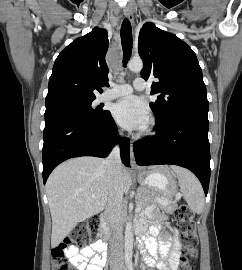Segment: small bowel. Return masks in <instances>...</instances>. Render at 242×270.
I'll list each match as a JSON object with an SVG mask.
<instances>
[{
	"instance_id": "c3829d8e",
	"label": "small bowel",
	"mask_w": 242,
	"mask_h": 270,
	"mask_svg": "<svg viewBox=\"0 0 242 270\" xmlns=\"http://www.w3.org/2000/svg\"><path fill=\"white\" fill-rule=\"evenodd\" d=\"M166 219V216L160 215L154 208H150L148 210V220L151 225L148 226L147 221L141 219L137 221L136 229L141 234L142 243L150 256L155 259L158 254L161 255L160 269L177 270L180 247L177 230L172 229V238L169 243L155 239L156 234L166 229V223L164 222ZM104 251V243L97 241L80 249L71 246L66 250V254L77 270H102L106 261Z\"/></svg>"
}]
</instances>
